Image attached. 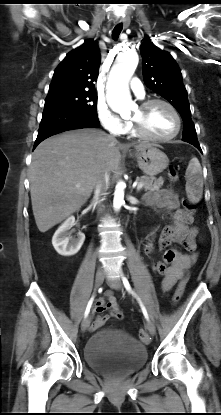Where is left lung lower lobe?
I'll use <instances>...</instances> for the list:
<instances>
[{
	"instance_id": "left-lung-lower-lobe-1",
	"label": "left lung lower lobe",
	"mask_w": 221,
	"mask_h": 415,
	"mask_svg": "<svg viewBox=\"0 0 221 415\" xmlns=\"http://www.w3.org/2000/svg\"><path fill=\"white\" fill-rule=\"evenodd\" d=\"M182 140L194 145L196 148H198L201 151V148H200V145L198 143L196 135H193V134L185 135V136H183Z\"/></svg>"
}]
</instances>
